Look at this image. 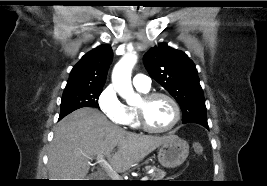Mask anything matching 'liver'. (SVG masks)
Masks as SVG:
<instances>
[{
    "label": "liver",
    "mask_w": 267,
    "mask_h": 186,
    "mask_svg": "<svg viewBox=\"0 0 267 186\" xmlns=\"http://www.w3.org/2000/svg\"><path fill=\"white\" fill-rule=\"evenodd\" d=\"M168 139L127 132L97 109H78L55 129L48 153L49 180H85L90 159L98 155L107 157L117 172H125Z\"/></svg>",
    "instance_id": "obj_1"
}]
</instances>
